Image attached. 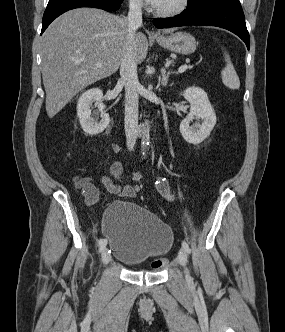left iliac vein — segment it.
Listing matches in <instances>:
<instances>
[{
  "instance_id": "obj_1",
  "label": "left iliac vein",
  "mask_w": 285,
  "mask_h": 332,
  "mask_svg": "<svg viewBox=\"0 0 285 332\" xmlns=\"http://www.w3.org/2000/svg\"><path fill=\"white\" fill-rule=\"evenodd\" d=\"M177 261L184 268L185 277H186L187 281L191 282V276H190L189 270L187 268V254L183 248L180 250V252L177 256Z\"/></svg>"
}]
</instances>
